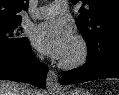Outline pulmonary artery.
Wrapping results in <instances>:
<instances>
[{
    "mask_svg": "<svg viewBox=\"0 0 119 95\" xmlns=\"http://www.w3.org/2000/svg\"><path fill=\"white\" fill-rule=\"evenodd\" d=\"M67 10V1L57 0L49 5L38 8L34 14V17L37 19L49 18L57 14L65 13Z\"/></svg>",
    "mask_w": 119,
    "mask_h": 95,
    "instance_id": "1",
    "label": "pulmonary artery"
}]
</instances>
